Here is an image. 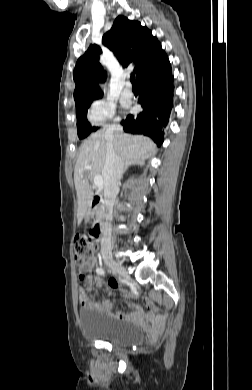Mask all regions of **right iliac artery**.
<instances>
[{
    "label": "right iliac artery",
    "mask_w": 252,
    "mask_h": 390,
    "mask_svg": "<svg viewBox=\"0 0 252 390\" xmlns=\"http://www.w3.org/2000/svg\"><path fill=\"white\" fill-rule=\"evenodd\" d=\"M96 272H97L98 274H100V275H104V274H105V271H104V269H102V268H97V269H96Z\"/></svg>",
    "instance_id": "1"
}]
</instances>
